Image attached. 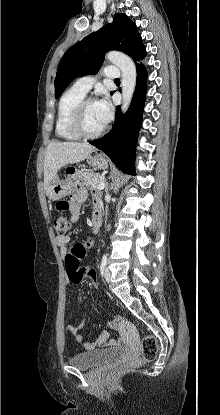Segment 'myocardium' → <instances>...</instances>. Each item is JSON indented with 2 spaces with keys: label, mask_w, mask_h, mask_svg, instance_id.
<instances>
[{
  "label": "myocardium",
  "mask_w": 220,
  "mask_h": 415,
  "mask_svg": "<svg viewBox=\"0 0 220 415\" xmlns=\"http://www.w3.org/2000/svg\"><path fill=\"white\" fill-rule=\"evenodd\" d=\"M95 100L93 98H84L83 100H81L76 107L73 109L71 116H70V121H69V125H70V129L79 137V138H83V139H94V138H98L99 136H101L107 126L106 124H104V126L98 130L97 132L94 133H88L83 126V114H84V110L86 108V106L90 103H94Z\"/></svg>",
  "instance_id": "myocardium-1"
}]
</instances>
